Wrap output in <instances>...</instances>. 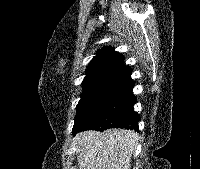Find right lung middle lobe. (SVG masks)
Here are the masks:
<instances>
[{
	"mask_svg": "<svg viewBox=\"0 0 200 169\" xmlns=\"http://www.w3.org/2000/svg\"><path fill=\"white\" fill-rule=\"evenodd\" d=\"M116 85L107 84L89 88L83 91L76 107L73 135L81 125L95 113L112 94Z\"/></svg>",
	"mask_w": 200,
	"mask_h": 169,
	"instance_id": "dd1d6c3e",
	"label": "right lung middle lobe"
}]
</instances>
